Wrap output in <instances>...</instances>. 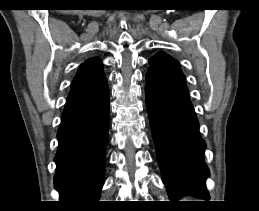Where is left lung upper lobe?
Wrapping results in <instances>:
<instances>
[{
    "instance_id": "obj_1",
    "label": "left lung upper lobe",
    "mask_w": 259,
    "mask_h": 211,
    "mask_svg": "<svg viewBox=\"0 0 259 211\" xmlns=\"http://www.w3.org/2000/svg\"><path fill=\"white\" fill-rule=\"evenodd\" d=\"M149 64L150 67L146 76L168 84L186 86V79L178 61L169 55L159 52L149 60Z\"/></svg>"
}]
</instances>
